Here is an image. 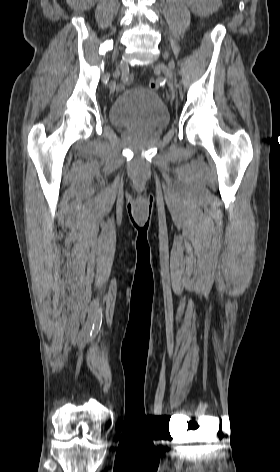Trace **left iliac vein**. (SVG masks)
Masks as SVG:
<instances>
[{
	"instance_id": "obj_1",
	"label": "left iliac vein",
	"mask_w": 280,
	"mask_h": 472,
	"mask_svg": "<svg viewBox=\"0 0 280 472\" xmlns=\"http://www.w3.org/2000/svg\"><path fill=\"white\" fill-rule=\"evenodd\" d=\"M158 67L164 72L165 76L168 78L170 90H172L173 89V72H172V70L170 68H168L163 63H159Z\"/></svg>"
}]
</instances>
